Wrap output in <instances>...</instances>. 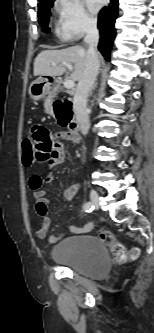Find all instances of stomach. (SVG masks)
Instances as JSON below:
<instances>
[{"instance_id":"obj_1","label":"stomach","mask_w":154,"mask_h":333,"mask_svg":"<svg viewBox=\"0 0 154 333\" xmlns=\"http://www.w3.org/2000/svg\"><path fill=\"white\" fill-rule=\"evenodd\" d=\"M50 89L51 86L47 79L40 77L31 83L29 95L33 100H40L50 93Z\"/></svg>"}]
</instances>
